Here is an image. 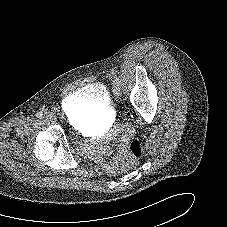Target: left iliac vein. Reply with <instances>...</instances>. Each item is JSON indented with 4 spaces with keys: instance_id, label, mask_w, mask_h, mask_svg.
I'll list each match as a JSON object with an SVG mask.
<instances>
[{
    "instance_id": "1",
    "label": "left iliac vein",
    "mask_w": 227,
    "mask_h": 227,
    "mask_svg": "<svg viewBox=\"0 0 227 227\" xmlns=\"http://www.w3.org/2000/svg\"><path fill=\"white\" fill-rule=\"evenodd\" d=\"M114 92L117 94V95H120L121 94V90H120V87L119 85H114Z\"/></svg>"
}]
</instances>
